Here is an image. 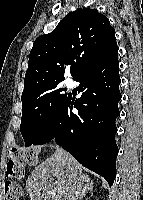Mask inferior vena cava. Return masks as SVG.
I'll return each mask as SVG.
<instances>
[{
	"instance_id": "obj_1",
	"label": "inferior vena cava",
	"mask_w": 143,
	"mask_h": 200,
	"mask_svg": "<svg viewBox=\"0 0 143 200\" xmlns=\"http://www.w3.org/2000/svg\"><path fill=\"white\" fill-rule=\"evenodd\" d=\"M58 153H63V149L62 148H57V150H56Z\"/></svg>"
}]
</instances>
